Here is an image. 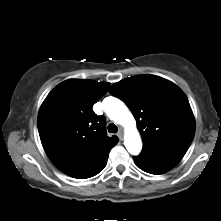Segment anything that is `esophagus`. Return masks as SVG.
Returning <instances> with one entry per match:
<instances>
[{
	"instance_id": "esophagus-1",
	"label": "esophagus",
	"mask_w": 221,
	"mask_h": 221,
	"mask_svg": "<svg viewBox=\"0 0 221 221\" xmlns=\"http://www.w3.org/2000/svg\"><path fill=\"white\" fill-rule=\"evenodd\" d=\"M123 134H124L123 129H120L118 134H117V136L119 137L120 140H122Z\"/></svg>"
}]
</instances>
